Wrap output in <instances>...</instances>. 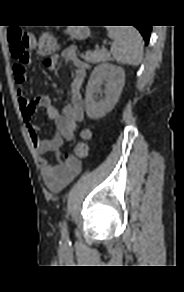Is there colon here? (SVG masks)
<instances>
[{
  "instance_id": "5ec220e1",
  "label": "colon",
  "mask_w": 184,
  "mask_h": 292,
  "mask_svg": "<svg viewBox=\"0 0 184 292\" xmlns=\"http://www.w3.org/2000/svg\"><path fill=\"white\" fill-rule=\"evenodd\" d=\"M8 39L11 45L12 56L19 64L25 65L28 62V49L33 44V37L18 27H11L8 30ZM58 50V44L54 36L50 33H44L37 43V51L44 56H50ZM91 133L89 130H83L81 133V141L76 145L72 155L66 154V158H85L88 154Z\"/></svg>"
}]
</instances>
